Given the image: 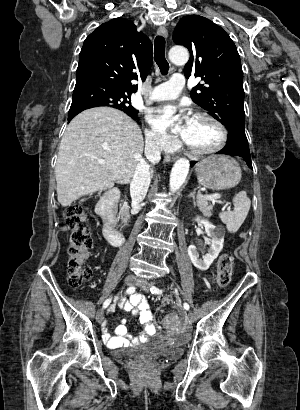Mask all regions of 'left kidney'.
I'll use <instances>...</instances> for the list:
<instances>
[{"mask_svg":"<svg viewBox=\"0 0 300 410\" xmlns=\"http://www.w3.org/2000/svg\"><path fill=\"white\" fill-rule=\"evenodd\" d=\"M195 221L204 226L207 236L210 237V248L208 249V253L200 259L196 246L190 245L188 247V255L196 268L205 271L210 267L223 249L225 232L223 229L217 228L211 224L207 219L197 217Z\"/></svg>","mask_w":300,"mask_h":410,"instance_id":"1","label":"left kidney"}]
</instances>
